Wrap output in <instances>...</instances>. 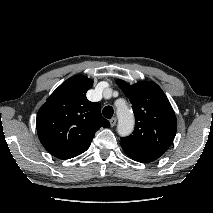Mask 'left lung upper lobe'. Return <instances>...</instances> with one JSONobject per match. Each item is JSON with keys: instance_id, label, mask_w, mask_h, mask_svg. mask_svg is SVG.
<instances>
[{"instance_id": "left-lung-upper-lobe-1", "label": "left lung upper lobe", "mask_w": 213, "mask_h": 213, "mask_svg": "<svg viewBox=\"0 0 213 213\" xmlns=\"http://www.w3.org/2000/svg\"><path fill=\"white\" fill-rule=\"evenodd\" d=\"M117 84L129 98L136 119L133 134L121 138L123 150L158 159L170 147L177 130L176 116L168 98L154 82L130 85L118 80Z\"/></svg>"}]
</instances>
